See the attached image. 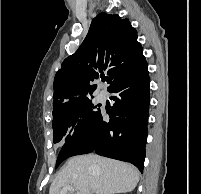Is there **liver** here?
Segmentation results:
<instances>
[{
	"mask_svg": "<svg viewBox=\"0 0 201 194\" xmlns=\"http://www.w3.org/2000/svg\"><path fill=\"white\" fill-rule=\"evenodd\" d=\"M138 181L139 171L131 164L95 154L81 155L67 161L49 194H60L64 186H72L79 194L126 193L133 191Z\"/></svg>",
	"mask_w": 201,
	"mask_h": 194,
	"instance_id": "liver-1",
	"label": "liver"
}]
</instances>
